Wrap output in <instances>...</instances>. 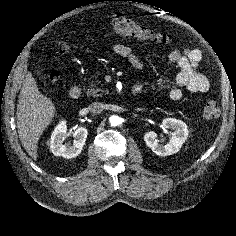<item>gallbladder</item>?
Segmentation results:
<instances>
[{"mask_svg":"<svg viewBox=\"0 0 236 236\" xmlns=\"http://www.w3.org/2000/svg\"><path fill=\"white\" fill-rule=\"evenodd\" d=\"M41 71H42V68L39 66V67H38V70H37V74H38V75H41Z\"/></svg>","mask_w":236,"mask_h":236,"instance_id":"bac80fb5","label":"gallbladder"}]
</instances>
